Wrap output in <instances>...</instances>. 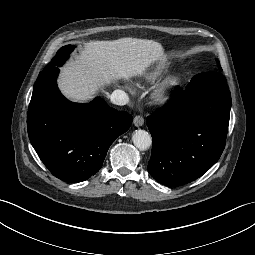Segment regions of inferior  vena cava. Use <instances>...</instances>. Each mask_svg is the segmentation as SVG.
I'll return each instance as SVG.
<instances>
[{
	"label": "inferior vena cava",
	"instance_id": "1",
	"mask_svg": "<svg viewBox=\"0 0 255 255\" xmlns=\"http://www.w3.org/2000/svg\"><path fill=\"white\" fill-rule=\"evenodd\" d=\"M110 100L113 104L122 106L129 102V97L122 90H114L110 96Z\"/></svg>",
	"mask_w": 255,
	"mask_h": 255
}]
</instances>
